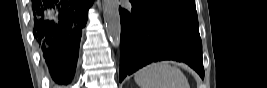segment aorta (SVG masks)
Wrapping results in <instances>:
<instances>
[{
  "mask_svg": "<svg viewBox=\"0 0 267 88\" xmlns=\"http://www.w3.org/2000/svg\"><path fill=\"white\" fill-rule=\"evenodd\" d=\"M103 15L106 24L107 36L111 44L117 48L120 45L121 25L116 0H103Z\"/></svg>",
  "mask_w": 267,
  "mask_h": 88,
  "instance_id": "1",
  "label": "aorta"
}]
</instances>
